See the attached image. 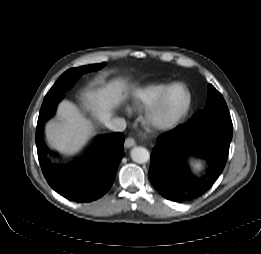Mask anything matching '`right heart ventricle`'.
Returning a JSON list of instances; mask_svg holds the SVG:
<instances>
[{
    "label": "right heart ventricle",
    "mask_w": 261,
    "mask_h": 254,
    "mask_svg": "<svg viewBox=\"0 0 261 254\" xmlns=\"http://www.w3.org/2000/svg\"><path fill=\"white\" fill-rule=\"evenodd\" d=\"M168 86L166 83H150L136 89L132 95L133 109L143 110L152 107Z\"/></svg>",
    "instance_id": "1"
}]
</instances>
